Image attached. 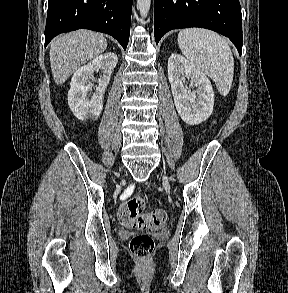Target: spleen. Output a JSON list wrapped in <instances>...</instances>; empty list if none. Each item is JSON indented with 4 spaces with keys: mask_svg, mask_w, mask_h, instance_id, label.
<instances>
[{
    "mask_svg": "<svg viewBox=\"0 0 288 293\" xmlns=\"http://www.w3.org/2000/svg\"><path fill=\"white\" fill-rule=\"evenodd\" d=\"M178 45L190 64L208 75L222 95L231 89L234 59L226 40L213 31L200 28L183 29Z\"/></svg>",
    "mask_w": 288,
    "mask_h": 293,
    "instance_id": "1",
    "label": "spleen"
}]
</instances>
